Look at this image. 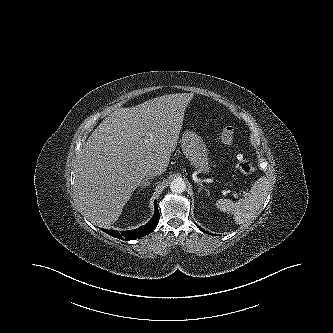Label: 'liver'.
I'll return each mask as SVG.
<instances>
[{
  "mask_svg": "<svg viewBox=\"0 0 333 333\" xmlns=\"http://www.w3.org/2000/svg\"><path fill=\"white\" fill-rule=\"evenodd\" d=\"M191 93L160 96L118 108L83 147L74 185L78 206L99 226L115 223L148 171L167 169Z\"/></svg>",
  "mask_w": 333,
  "mask_h": 333,
  "instance_id": "1",
  "label": "liver"
}]
</instances>
